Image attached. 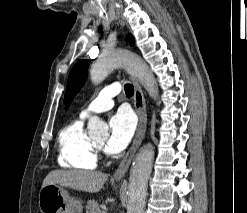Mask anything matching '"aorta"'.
I'll use <instances>...</instances> for the list:
<instances>
[{
    "instance_id": "aorta-1",
    "label": "aorta",
    "mask_w": 247,
    "mask_h": 213,
    "mask_svg": "<svg viewBox=\"0 0 247 213\" xmlns=\"http://www.w3.org/2000/svg\"><path fill=\"white\" fill-rule=\"evenodd\" d=\"M124 67L138 79L153 99L158 97V87L154 75L146 63L136 54L125 49L104 52L92 65L90 78L94 84L102 82L111 70ZM88 133L95 136L107 131V125L97 116L88 121ZM154 150L151 144L143 146L136 155L129 178V200L127 213H143L146 204L147 184L151 174Z\"/></svg>"
}]
</instances>
